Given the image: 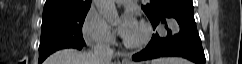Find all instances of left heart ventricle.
Listing matches in <instances>:
<instances>
[{"instance_id":"b2bd125f","label":"left heart ventricle","mask_w":242,"mask_h":64,"mask_svg":"<svg viewBox=\"0 0 242 64\" xmlns=\"http://www.w3.org/2000/svg\"><path fill=\"white\" fill-rule=\"evenodd\" d=\"M140 37H141V30L138 27L137 31L131 37H129L127 40H129V41H137Z\"/></svg>"}]
</instances>
